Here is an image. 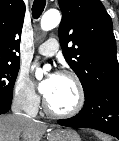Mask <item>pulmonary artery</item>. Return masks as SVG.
<instances>
[{"label":"pulmonary artery","instance_id":"e3ab8cb5","mask_svg":"<svg viewBox=\"0 0 119 141\" xmlns=\"http://www.w3.org/2000/svg\"><path fill=\"white\" fill-rule=\"evenodd\" d=\"M58 49L59 43L57 39L49 38L38 47V53L46 57H51L58 52Z\"/></svg>","mask_w":119,"mask_h":141}]
</instances>
